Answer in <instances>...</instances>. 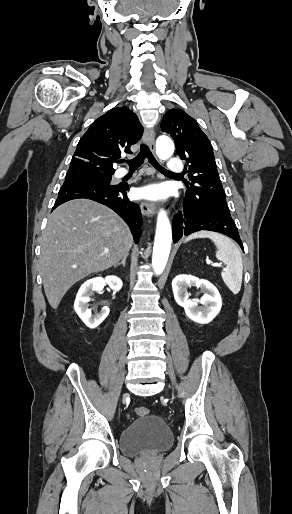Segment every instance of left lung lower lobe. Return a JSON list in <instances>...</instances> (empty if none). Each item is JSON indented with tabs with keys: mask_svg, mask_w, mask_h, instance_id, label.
Instances as JSON below:
<instances>
[{
	"mask_svg": "<svg viewBox=\"0 0 292 514\" xmlns=\"http://www.w3.org/2000/svg\"><path fill=\"white\" fill-rule=\"evenodd\" d=\"M200 230L225 234L234 239L244 250L229 208L222 205L206 204L199 198L186 195L183 210L179 211L173 218V241L176 243L183 235H189Z\"/></svg>",
	"mask_w": 292,
	"mask_h": 514,
	"instance_id": "1",
	"label": "left lung lower lobe"
}]
</instances>
